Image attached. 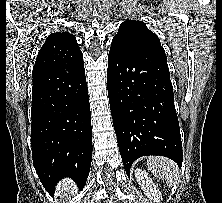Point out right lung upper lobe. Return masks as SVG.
I'll list each match as a JSON object with an SVG mask.
<instances>
[{
	"mask_svg": "<svg viewBox=\"0 0 222 203\" xmlns=\"http://www.w3.org/2000/svg\"><path fill=\"white\" fill-rule=\"evenodd\" d=\"M83 61L76 38L68 32L50 34L41 47L33 70L60 65H71Z\"/></svg>",
	"mask_w": 222,
	"mask_h": 203,
	"instance_id": "1",
	"label": "right lung upper lobe"
}]
</instances>
